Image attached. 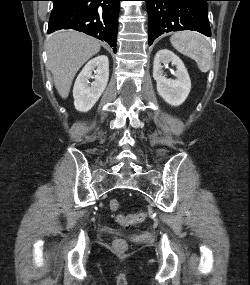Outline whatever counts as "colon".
<instances>
[{
  "label": "colon",
  "mask_w": 250,
  "mask_h": 285,
  "mask_svg": "<svg viewBox=\"0 0 250 285\" xmlns=\"http://www.w3.org/2000/svg\"><path fill=\"white\" fill-rule=\"evenodd\" d=\"M120 203L116 199H112L109 202V209L112 212H116L119 209ZM145 219V214L142 212L138 213H130V214H118L116 216V221L118 224L124 227H130L141 224ZM114 249L119 252L123 253L127 250L128 244L127 241L123 238H117L113 241Z\"/></svg>",
  "instance_id": "colon-1"
}]
</instances>
